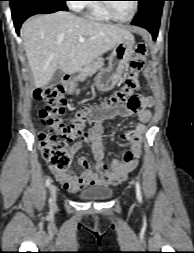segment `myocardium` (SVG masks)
<instances>
[{"mask_svg": "<svg viewBox=\"0 0 194 253\" xmlns=\"http://www.w3.org/2000/svg\"><path fill=\"white\" fill-rule=\"evenodd\" d=\"M104 1H108V0H104ZM133 2H134L133 11H132L131 15L127 18L118 17L114 13L113 9L111 8L110 3L103 2V3H101V5H102L103 9L107 12V14L112 18V20H115V21L121 22V23H125V22H129L130 20H132L138 11V7H139L138 1L134 0Z\"/></svg>", "mask_w": 194, "mask_h": 253, "instance_id": "1", "label": "myocardium"}]
</instances>
